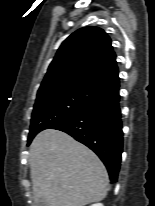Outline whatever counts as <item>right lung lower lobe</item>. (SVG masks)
Listing matches in <instances>:
<instances>
[{
    "label": "right lung lower lobe",
    "mask_w": 155,
    "mask_h": 206,
    "mask_svg": "<svg viewBox=\"0 0 155 206\" xmlns=\"http://www.w3.org/2000/svg\"><path fill=\"white\" fill-rule=\"evenodd\" d=\"M119 86L52 129L68 133L92 149L105 164L110 180L117 181L123 149Z\"/></svg>",
    "instance_id": "right-lung-lower-lobe-1"
}]
</instances>
